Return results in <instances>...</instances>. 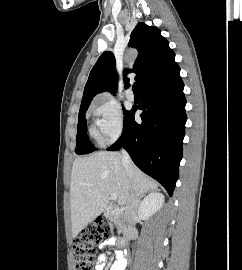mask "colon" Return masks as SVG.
Segmentation results:
<instances>
[{"label": "colon", "mask_w": 242, "mask_h": 270, "mask_svg": "<svg viewBox=\"0 0 242 270\" xmlns=\"http://www.w3.org/2000/svg\"><path fill=\"white\" fill-rule=\"evenodd\" d=\"M118 235V228L109 219L100 218L88 225L75 238L72 250L75 256V270H94L95 247L104 239Z\"/></svg>", "instance_id": "1"}]
</instances>
